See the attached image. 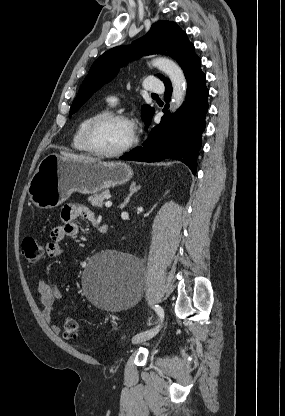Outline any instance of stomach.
Returning <instances> with one entry per match:
<instances>
[{
	"label": "stomach",
	"mask_w": 285,
	"mask_h": 416,
	"mask_svg": "<svg viewBox=\"0 0 285 416\" xmlns=\"http://www.w3.org/2000/svg\"><path fill=\"white\" fill-rule=\"evenodd\" d=\"M133 170L123 162L101 160H70L49 154L41 160L28 184L30 200L37 208H57L72 192L97 194L108 188L126 184Z\"/></svg>",
	"instance_id": "1"
}]
</instances>
